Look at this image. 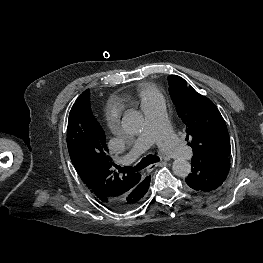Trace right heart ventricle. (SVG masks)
Masks as SVG:
<instances>
[{"instance_id": "right-heart-ventricle-1", "label": "right heart ventricle", "mask_w": 263, "mask_h": 263, "mask_svg": "<svg viewBox=\"0 0 263 263\" xmlns=\"http://www.w3.org/2000/svg\"><path fill=\"white\" fill-rule=\"evenodd\" d=\"M138 98L142 105H145L157 98H160L159 91L153 85H143L138 90Z\"/></svg>"}]
</instances>
